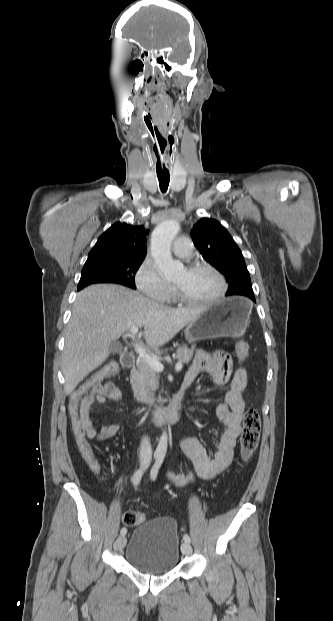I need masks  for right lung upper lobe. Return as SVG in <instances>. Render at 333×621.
<instances>
[{"mask_svg":"<svg viewBox=\"0 0 333 621\" xmlns=\"http://www.w3.org/2000/svg\"><path fill=\"white\" fill-rule=\"evenodd\" d=\"M149 230L117 222L104 232L88 254L87 261L103 259L144 260Z\"/></svg>","mask_w":333,"mask_h":621,"instance_id":"1","label":"right lung upper lobe"}]
</instances>
